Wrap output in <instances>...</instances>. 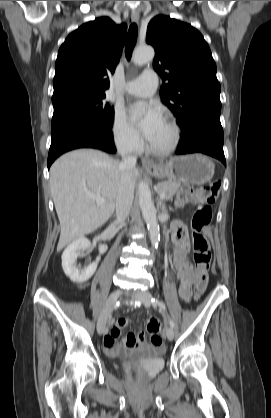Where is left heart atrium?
<instances>
[{"label": "left heart atrium", "instance_id": "obj_1", "mask_svg": "<svg viewBox=\"0 0 271 418\" xmlns=\"http://www.w3.org/2000/svg\"><path fill=\"white\" fill-rule=\"evenodd\" d=\"M131 119L137 123L139 129L149 141L153 138L164 118L156 107L147 103H136L130 110Z\"/></svg>", "mask_w": 271, "mask_h": 418}]
</instances>
